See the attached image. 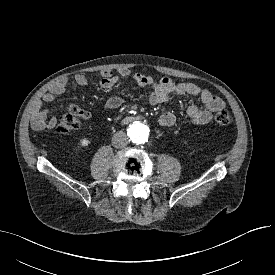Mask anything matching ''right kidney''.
<instances>
[{"instance_id": "1", "label": "right kidney", "mask_w": 275, "mask_h": 275, "mask_svg": "<svg viewBox=\"0 0 275 275\" xmlns=\"http://www.w3.org/2000/svg\"><path fill=\"white\" fill-rule=\"evenodd\" d=\"M90 143H91V141H90L89 139H87V138H84V139H81V140H80V145H81L82 147H86V146H88Z\"/></svg>"}]
</instances>
